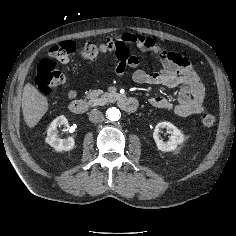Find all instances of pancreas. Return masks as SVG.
<instances>
[{
  "label": "pancreas",
  "mask_w": 236,
  "mask_h": 236,
  "mask_svg": "<svg viewBox=\"0 0 236 236\" xmlns=\"http://www.w3.org/2000/svg\"><path fill=\"white\" fill-rule=\"evenodd\" d=\"M86 98L89 99L90 106L104 105L108 102H113L115 94L104 92L102 90H89L86 93Z\"/></svg>",
  "instance_id": "pancreas-1"
}]
</instances>
